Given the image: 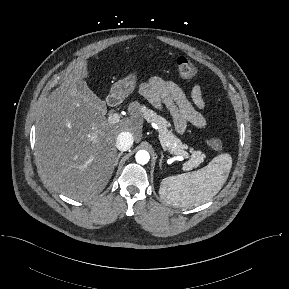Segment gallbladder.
Here are the masks:
<instances>
[{
    "label": "gallbladder",
    "mask_w": 289,
    "mask_h": 289,
    "mask_svg": "<svg viewBox=\"0 0 289 289\" xmlns=\"http://www.w3.org/2000/svg\"><path fill=\"white\" fill-rule=\"evenodd\" d=\"M76 85H77V88H78L80 91H82V92H84V93H86V94H89V96H90V98L92 99L93 103H94L101 111L105 109V107H106L105 103H104L102 100H100V99L96 96V94H94V93L88 88V86H87V84H86L85 82H80V81H78V82L76 83Z\"/></svg>",
    "instance_id": "obj_1"
}]
</instances>
